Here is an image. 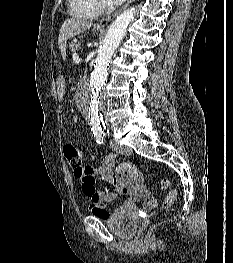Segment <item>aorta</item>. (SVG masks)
I'll use <instances>...</instances> for the list:
<instances>
[{
	"instance_id": "aorta-1",
	"label": "aorta",
	"mask_w": 233,
	"mask_h": 263,
	"mask_svg": "<svg viewBox=\"0 0 233 263\" xmlns=\"http://www.w3.org/2000/svg\"><path fill=\"white\" fill-rule=\"evenodd\" d=\"M135 10L136 8L132 7L124 11L111 23L90 78L79 91V108L89 119L92 127H105L104 87L108 77V66L134 18Z\"/></svg>"
}]
</instances>
